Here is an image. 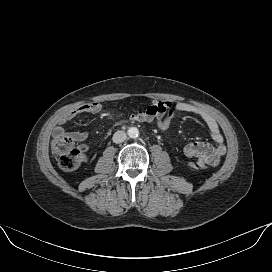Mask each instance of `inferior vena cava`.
I'll use <instances>...</instances> for the list:
<instances>
[{"instance_id":"obj_1","label":"inferior vena cava","mask_w":272,"mask_h":272,"mask_svg":"<svg viewBox=\"0 0 272 272\" xmlns=\"http://www.w3.org/2000/svg\"><path fill=\"white\" fill-rule=\"evenodd\" d=\"M127 135L124 131H117L113 135V142L114 143H122L126 140Z\"/></svg>"}]
</instances>
